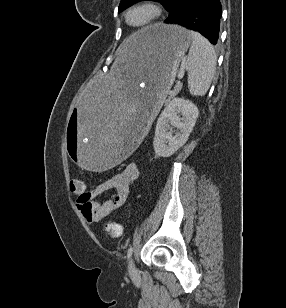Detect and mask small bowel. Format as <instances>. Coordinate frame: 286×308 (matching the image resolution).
Returning a JSON list of instances; mask_svg holds the SVG:
<instances>
[{
	"label": "small bowel",
	"instance_id": "small-bowel-1",
	"mask_svg": "<svg viewBox=\"0 0 286 308\" xmlns=\"http://www.w3.org/2000/svg\"><path fill=\"white\" fill-rule=\"evenodd\" d=\"M138 176L137 164L129 163L120 172L91 190H86L84 183L83 191L74 194L77 197V208L86 222H99L122 207L128 198L131 185ZM108 191H113L111 196L104 201L100 200Z\"/></svg>",
	"mask_w": 286,
	"mask_h": 308
}]
</instances>
